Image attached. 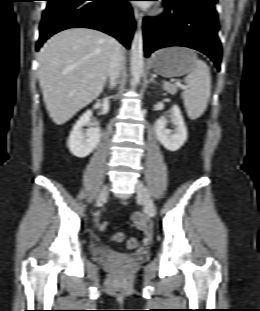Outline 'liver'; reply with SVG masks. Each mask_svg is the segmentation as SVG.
<instances>
[{
	"label": "liver",
	"mask_w": 260,
	"mask_h": 311,
	"mask_svg": "<svg viewBox=\"0 0 260 311\" xmlns=\"http://www.w3.org/2000/svg\"><path fill=\"white\" fill-rule=\"evenodd\" d=\"M113 38L71 28L51 37L39 53V83L53 122L62 125L96 99L107 78Z\"/></svg>",
	"instance_id": "liver-1"
}]
</instances>
